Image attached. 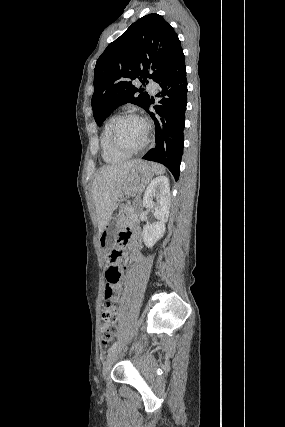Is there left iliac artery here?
Masks as SVG:
<instances>
[{"instance_id":"1","label":"left iliac artery","mask_w":285,"mask_h":427,"mask_svg":"<svg viewBox=\"0 0 285 427\" xmlns=\"http://www.w3.org/2000/svg\"><path fill=\"white\" fill-rule=\"evenodd\" d=\"M119 344V341H116L108 350V353H111Z\"/></svg>"}]
</instances>
